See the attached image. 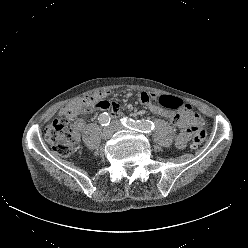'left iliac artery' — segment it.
<instances>
[{
  "label": "left iliac artery",
  "mask_w": 248,
  "mask_h": 248,
  "mask_svg": "<svg viewBox=\"0 0 248 248\" xmlns=\"http://www.w3.org/2000/svg\"><path fill=\"white\" fill-rule=\"evenodd\" d=\"M121 124L131 130L149 133L154 130L155 125L152 121L149 120H138L134 121L133 119L123 117L120 119Z\"/></svg>",
  "instance_id": "obj_1"
}]
</instances>
